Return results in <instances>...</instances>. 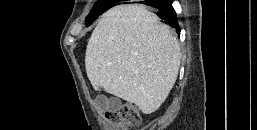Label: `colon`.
Instances as JSON below:
<instances>
[{"label":"colon","mask_w":257,"mask_h":130,"mask_svg":"<svg viewBox=\"0 0 257 130\" xmlns=\"http://www.w3.org/2000/svg\"><path fill=\"white\" fill-rule=\"evenodd\" d=\"M105 116L112 125L121 130L138 126L141 120L138 109L130 103L108 110Z\"/></svg>","instance_id":"5ec220e1"}]
</instances>
